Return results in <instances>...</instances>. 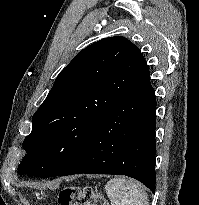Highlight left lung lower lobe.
Instances as JSON below:
<instances>
[{
  "label": "left lung lower lobe",
  "instance_id": "1",
  "mask_svg": "<svg viewBox=\"0 0 199 205\" xmlns=\"http://www.w3.org/2000/svg\"><path fill=\"white\" fill-rule=\"evenodd\" d=\"M156 97L142 56L134 81L108 111L77 158L58 176L80 173L135 178L155 192Z\"/></svg>",
  "mask_w": 199,
  "mask_h": 205
}]
</instances>
